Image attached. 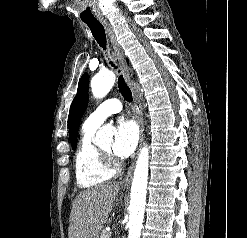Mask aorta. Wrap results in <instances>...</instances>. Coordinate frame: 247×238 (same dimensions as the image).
<instances>
[{"mask_svg":"<svg viewBox=\"0 0 247 238\" xmlns=\"http://www.w3.org/2000/svg\"><path fill=\"white\" fill-rule=\"evenodd\" d=\"M115 83L113 72L97 74L92 78L91 90L96 98H103L111 90ZM113 131L110 126H103L96 134V142L111 141ZM149 167V149L144 146L138 156L134 177L131 186V200L129 206V234L128 238H140L144 211L146 205V189L148 180Z\"/></svg>","mask_w":247,"mask_h":238,"instance_id":"1","label":"aorta"}]
</instances>
